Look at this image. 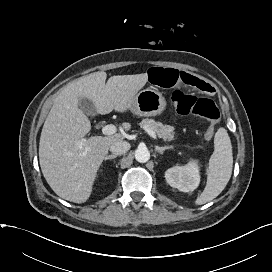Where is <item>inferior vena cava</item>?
<instances>
[{"label":"inferior vena cava","mask_w":272,"mask_h":272,"mask_svg":"<svg viewBox=\"0 0 272 272\" xmlns=\"http://www.w3.org/2000/svg\"><path fill=\"white\" fill-rule=\"evenodd\" d=\"M130 147V143L121 140L111 144L110 151L115 155H121L126 153L130 149Z\"/></svg>","instance_id":"inferior-vena-cava-1"}]
</instances>
